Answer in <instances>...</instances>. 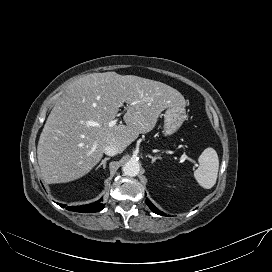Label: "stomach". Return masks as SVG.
Listing matches in <instances>:
<instances>
[{
  "instance_id": "1",
  "label": "stomach",
  "mask_w": 272,
  "mask_h": 272,
  "mask_svg": "<svg viewBox=\"0 0 272 272\" xmlns=\"http://www.w3.org/2000/svg\"><path fill=\"white\" fill-rule=\"evenodd\" d=\"M164 135L174 134L183 124L187 115L185 106L174 105L168 107L164 113Z\"/></svg>"
}]
</instances>
